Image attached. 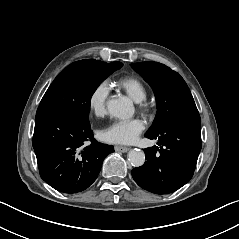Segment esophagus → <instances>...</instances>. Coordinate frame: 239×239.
<instances>
[{
  "label": "esophagus",
  "mask_w": 239,
  "mask_h": 239,
  "mask_svg": "<svg viewBox=\"0 0 239 239\" xmlns=\"http://www.w3.org/2000/svg\"><path fill=\"white\" fill-rule=\"evenodd\" d=\"M114 149L116 152H123V153H125L129 150L128 147H123V146H115Z\"/></svg>",
  "instance_id": "34e87169"
}]
</instances>
